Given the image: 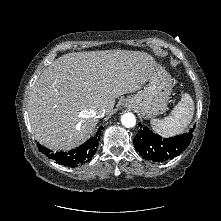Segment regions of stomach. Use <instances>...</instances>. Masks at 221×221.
I'll list each match as a JSON object with an SVG mask.
<instances>
[{"label": "stomach", "instance_id": "obj_1", "mask_svg": "<svg viewBox=\"0 0 221 221\" xmlns=\"http://www.w3.org/2000/svg\"><path fill=\"white\" fill-rule=\"evenodd\" d=\"M148 81V85L129 97L128 101L133 103L134 108L142 117L149 119L165 111L172 81L170 75L158 65H155Z\"/></svg>", "mask_w": 221, "mask_h": 221}]
</instances>
